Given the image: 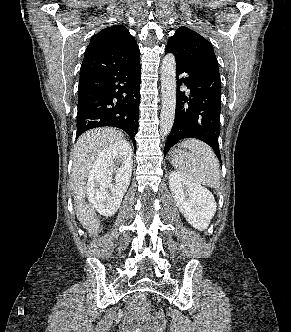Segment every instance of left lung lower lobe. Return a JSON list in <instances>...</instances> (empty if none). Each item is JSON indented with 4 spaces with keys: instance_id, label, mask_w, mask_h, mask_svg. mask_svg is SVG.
I'll list each match as a JSON object with an SVG mask.
<instances>
[{
    "instance_id": "obj_1",
    "label": "left lung lower lobe",
    "mask_w": 291,
    "mask_h": 332,
    "mask_svg": "<svg viewBox=\"0 0 291 332\" xmlns=\"http://www.w3.org/2000/svg\"><path fill=\"white\" fill-rule=\"evenodd\" d=\"M169 53L168 50H165ZM177 61V60H176ZM187 73L186 78L179 75ZM177 94L175 120L164 148V155L179 140L198 138L208 144L221 161L220 134L221 80L219 70L212 66L191 68L176 62ZM182 83L188 94L178 90Z\"/></svg>"
}]
</instances>
